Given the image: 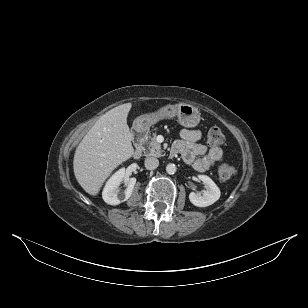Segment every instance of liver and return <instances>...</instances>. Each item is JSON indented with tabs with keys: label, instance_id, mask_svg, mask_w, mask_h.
<instances>
[{
	"label": "liver",
	"instance_id": "liver-1",
	"mask_svg": "<svg viewBox=\"0 0 308 308\" xmlns=\"http://www.w3.org/2000/svg\"><path fill=\"white\" fill-rule=\"evenodd\" d=\"M131 107V103L122 104L102 115L75 151V177L90 195L96 196L112 171L134 153L127 125Z\"/></svg>",
	"mask_w": 308,
	"mask_h": 308
}]
</instances>
